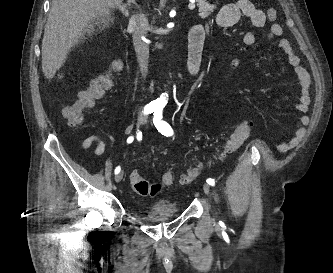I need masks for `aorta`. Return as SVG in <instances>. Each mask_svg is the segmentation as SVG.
I'll return each instance as SVG.
<instances>
[{
	"label": "aorta",
	"instance_id": "aorta-1",
	"mask_svg": "<svg viewBox=\"0 0 333 273\" xmlns=\"http://www.w3.org/2000/svg\"><path fill=\"white\" fill-rule=\"evenodd\" d=\"M164 100H165V97L162 95V96L157 100V102H159V103H163Z\"/></svg>",
	"mask_w": 333,
	"mask_h": 273
}]
</instances>
